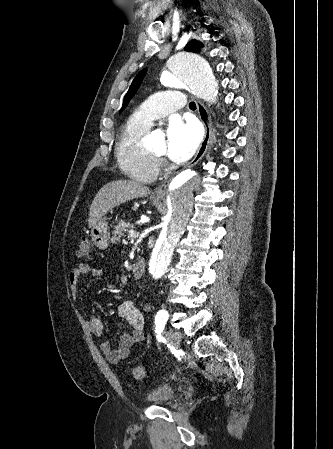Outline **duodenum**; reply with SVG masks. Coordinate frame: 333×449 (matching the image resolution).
<instances>
[{"mask_svg":"<svg viewBox=\"0 0 333 449\" xmlns=\"http://www.w3.org/2000/svg\"><path fill=\"white\" fill-rule=\"evenodd\" d=\"M144 272H145V263L142 260L136 261L132 265V273L136 280L141 279Z\"/></svg>","mask_w":333,"mask_h":449,"instance_id":"410a0bca","label":"duodenum"}]
</instances>
